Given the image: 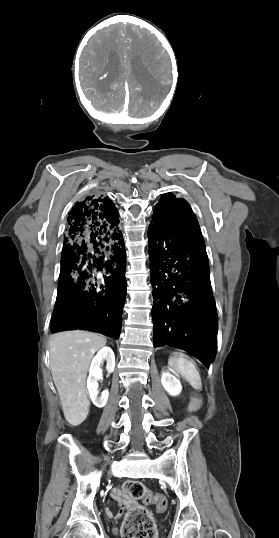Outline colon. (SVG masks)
I'll use <instances>...</instances> for the list:
<instances>
[{"label": "colon", "instance_id": "1", "mask_svg": "<svg viewBox=\"0 0 279 538\" xmlns=\"http://www.w3.org/2000/svg\"><path fill=\"white\" fill-rule=\"evenodd\" d=\"M126 492L135 500H144L155 504L158 512L167 508V498L158 493L149 492L140 482H127L124 485ZM123 538H155L156 532L150 515L143 511H133L122 526Z\"/></svg>", "mask_w": 279, "mask_h": 538}]
</instances>
